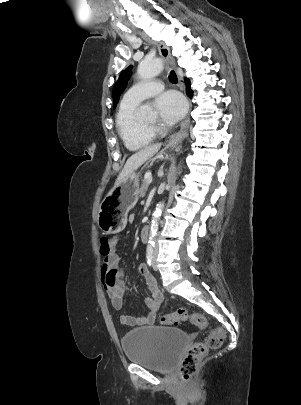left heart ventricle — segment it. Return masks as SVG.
I'll list each match as a JSON object with an SVG mask.
<instances>
[{"label":"left heart ventricle","mask_w":301,"mask_h":405,"mask_svg":"<svg viewBox=\"0 0 301 405\" xmlns=\"http://www.w3.org/2000/svg\"><path fill=\"white\" fill-rule=\"evenodd\" d=\"M142 121L146 124H154L156 123V117L155 116H148L142 119Z\"/></svg>","instance_id":"obj_1"}]
</instances>
